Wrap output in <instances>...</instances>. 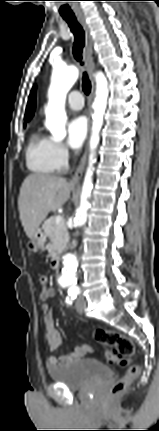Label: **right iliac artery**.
Listing matches in <instances>:
<instances>
[{
	"mask_svg": "<svg viewBox=\"0 0 159 431\" xmlns=\"http://www.w3.org/2000/svg\"><path fill=\"white\" fill-rule=\"evenodd\" d=\"M73 289H74V287H71L70 289H69V294H71L72 293V291H73Z\"/></svg>",
	"mask_w": 159,
	"mask_h": 431,
	"instance_id": "obj_1",
	"label": "right iliac artery"
}]
</instances>
